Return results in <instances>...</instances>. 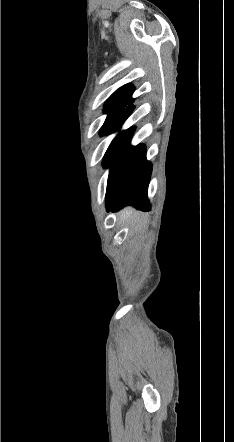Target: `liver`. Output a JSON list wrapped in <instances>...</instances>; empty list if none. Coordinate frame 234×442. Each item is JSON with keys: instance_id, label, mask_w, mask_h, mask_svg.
Instances as JSON below:
<instances>
[{"instance_id": "6515ba94", "label": "liver", "mask_w": 234, "mask_h": 442, "mask_svg": "<svg viewBox=\"0 0 234 442\" xmlns=\"http://www.w3.org/2000/svg\"><path fill=\"white\" fill-rule=\"evenodd\" d=\"M133 212H134V210L131 209V208H126V209H124V210L121 211V213H120V219H121L122 221H126V220H128L129 218L132 217Z\"/></svg>"}]
</instances>
